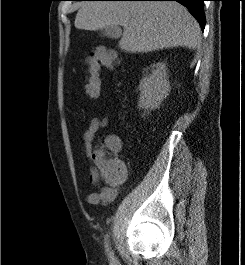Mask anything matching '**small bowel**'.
<instances>
[{
	"label": "small bowel",
	"instance_id": "small-bowel-1",
	"mask_svg": "<svg viewBox=\"0 0 245 265\" xmlns=\"http://www.w3.org/2000/svg\"><path fill=\"white\" fill-rule=\"evenodd\" d=\"M108 124V117H94L91 119L90 124L87 130L83 134V153L86 155L90 161L92 162L93 166L90 171V182L96 188V191L93 193H89L86 196V201L89 204H110L114 202L120 191L121 186L124 182L125 175L116 180H111L105 177L95 166L94 156L99 150L93 145L96 133L106 127ZM114 136H110L106 143Z\"/></svg>",
	"mask_w": 245,
	"mask_h": 265
}]
</instances>
